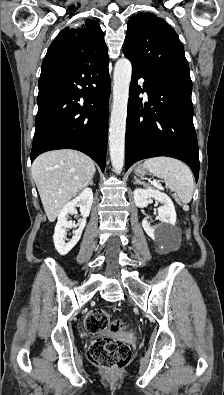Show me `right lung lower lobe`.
<instances>
[{"instance_id":"1","label":"right lung lower lobe","mask_w":224,"mask_h":395,"mask_svg":"<svg viewBox=\"0 0 224 395\" xmlns=\"http://www.w3.org/2000/svg\"><path fill=\"white\" fill-rule=\"evenodd\" d=\"M108 63L79 64L51 56L43 60L31 162L43 152L75 149L104 171L110 77Z\"/></svg>"}]
</instances>
